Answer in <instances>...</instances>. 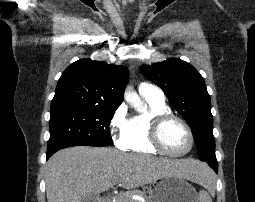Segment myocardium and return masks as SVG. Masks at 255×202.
Returning <instances> with one entry per match:
<instances>
[{
  "instance_id": "myocardium-1",
  "label": "myocardium",
  "mask_w": 255,
  "mask_h": 202,
  "mask_svg": "<svg viewBox=\"0 0 255 202\" xmlns=\"http://www.w3.org/2000/svg\"><path fill=\"white\" fill-rule=\"evenodd\" d=\"M170 121L179 122L180 124L183 125V127L186 129L188 133L189 146L183 152H172L168 150L162 143V139H161L162 129L164 125ZM149 141L158 152L168 156L181 157L188 154L193 149L195 139H194V134L190 125L183 118L172 113H163L152 118L150 122V127H149Z\"/></svg>"
}]
</instances>
